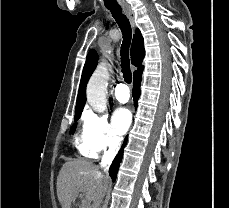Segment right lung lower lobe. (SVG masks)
<instances>
[{
  "label": "right lung lower lobe",
  "instance_id": "98d812e1",
  "mask_svg": "<svg viewBox=\"0 0 229 208\" xmlns=\"http://www.w3.org/2000/svg\"><path fill=\"white\" fill-rule=\"evenodd\" d=\"M141 80H142V73L136 75L134 77V81H133V98H134V103H135V107H137V100L140 96V85H141ZM127 143V137L124 140V144L121 147L119 153L117 154V156L115 157L110 169H109V175L112 178V181L116 180V176H117V171L119 168V164L122 160L123 157V150L124 147Z\"/></svg>",
  "mask_w": 229,
  "mask_h": 208
}]
</instances>
